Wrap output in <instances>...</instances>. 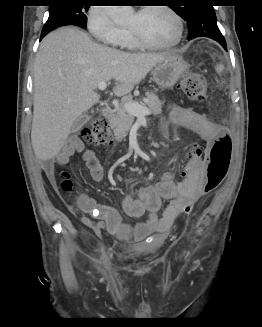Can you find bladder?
I'll list each match as a JSON object with an SVG mask.
<instances>
[{"instance_id":"obj_1","label":"bladder","mask_w":262,"mask_h":327,"mask_svg":"<svg viewBox=\"0 0 262 327\" xmlns=\"http://www.w3.org/2000/svg\"><path fill=\"white\" fill-rule=\"evenodd\" d=\"M128 250L138 256H146L153 253L156 248L149 243H138L128 247Z\"/></svg>"}]
</instances>
